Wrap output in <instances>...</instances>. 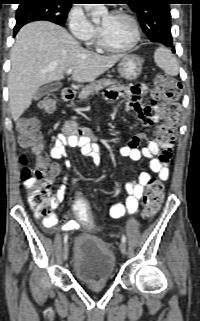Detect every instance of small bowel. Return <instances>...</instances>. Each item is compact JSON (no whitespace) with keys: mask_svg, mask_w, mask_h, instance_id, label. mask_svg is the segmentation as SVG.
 Returning <instances> with one entry per match:
<instances>
[{"mask_svg":"<svg viewBox=\"0 0 200 321\" xmlns=\"http://www.w3.org/2000/svg\"><path fill=\"white\" fill-rule=\"evenodd\" d=\"M147 95V90L144 88L142 82H133L132 86L126 88H113L106 92V97L109 99H117L120 97L128 98V108L132 109L138 115L141 123L149 128L155 123L159 122L165 116L164 106L162 103L154 100L147 99L142 101L141 97ZM156 134V131H155ZM96 136L89 128H77L74 122L66 125L64 131L58 134L54 140L52 149L49 155L44 154L48 159L62 160L64 167L63 184L52 194L48 199V205L52 210H55L61 204L67 183L69 180L68 170L70 162L65 158L63 148L65 146L79 147L85 156H94L98 152V147L94 143ZM143 142L145 146L139 148V144ZM165 145L162 144L158 138L154 139L149 137L146 133H140L128 141V143L120 148V154L133 161L147 158L150 160L149 167L153 173L158 174L162 181L169 177L168 162L170 160L164 157ZM40 149L42 146L40 145ZM54 174L49 178L51 183L61 172L59 164H52ZM152 177L148 172H141L138 177L125 186L127 198L125 204L117 203L109 208V216L111 218H120L126 214H133L137 211L139 201L143 197L145 188L152 181ZM69 216L65 215L66 222L61 226L63 231L74 230L79 227V223L75 220H68ZM44 228L48 232L56 230L58 225V218L54 213H49L42 220Z\"/></svg>","mask_w":200,"mask_h":321,"instance_id":"c3829d8e","label":"small bowel"}]
</instances>
